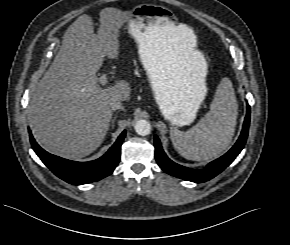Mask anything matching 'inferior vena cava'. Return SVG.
I'll return each mask as SVG.
<instances>
[{"label": "inferior vena cava", "instance_id": "1", "mask_svg": "<svg viewBox=\"0 0 290 245\" xmlns=\"http://www.w3.org/2000/svg\"><path fill=\"white\" fill-rule=\"evenodd\" d=\"M111 110L116 111L118 109H123L122 103L120 100H115L110 103Z\"/></svg>", "mask_w": 290, "mask_h": 245}]
</instances>
